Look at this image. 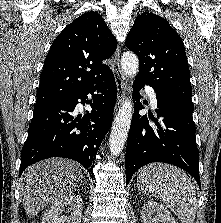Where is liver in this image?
<instances>
[{
	"mask_svg": "<svg viewBox=\"0 0 221 223\" xmlns=\"http://www.w3.org/2000/svg\"><path fill=\"white\" fill-rule=\"evenodd\" d=\"M80 165L73 160L51 158L28 167L20 180V197L26 214L43 209L78 190L82 183Z\"/></svg>",
	"mask_w": 221,
	"mask_h": 223,
	"instance_id": "1",
	"label": "liver"
}]
</instances>
